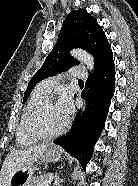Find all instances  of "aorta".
I'll return each mask as SVG.
<instances>
[{
    "mask_svg": "<svg viewBox=\"0 0 138 186\" xmlns=\"http://www.w3.org/2000/svg\"><path fill=\"white\" fill-rule=\"evenodd\" d=\"M70 55L81 61L83 64H85V66L87 67V69L93 73L94 71V58L91 54H89L88 52L81 50V49H74L70 52ZM85 110V106H83L82 111Z\"/></svg>",
    "mask_w": 138,
    "mask_h": 186,
    "instance_id": "obj_1",
    "label": "aorta"
}]
</instances>
